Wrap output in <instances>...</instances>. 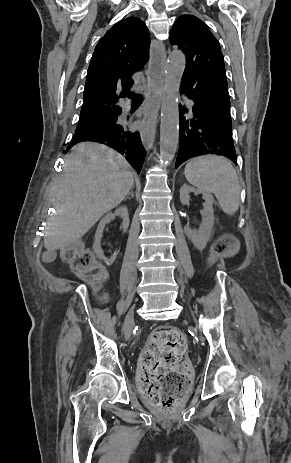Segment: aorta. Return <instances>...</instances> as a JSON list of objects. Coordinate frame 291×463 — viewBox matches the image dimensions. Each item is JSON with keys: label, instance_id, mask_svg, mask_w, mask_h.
<instances>
[{"label": "aorta", "instance_id": "1", "mask_svg": "<svg viewBox=\"0 0 291 463\" xmlns=\"http://www.w3.org/2000/svg\"><path fill=\"white\" fill-rule=\"evenodd\" d=\"M185 65V56L181 52H174L169 55L165 68L166 81L162 97L160 124V159L163 166L171 163L178 147V92Z\"/></svg>", "mask_w": 291, "mask_h": 463}]
</instances>
